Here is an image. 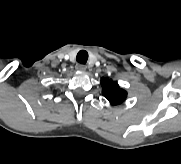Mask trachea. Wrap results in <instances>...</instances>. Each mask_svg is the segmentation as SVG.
I'll return each mask as SVG.
<instances>
[{
  "label": "trachea",
  "mask_w": 181,
  "mask_h": 164,
  "mask_svg": "<svg viewBox=\"0 0 181 164\" xmlns=\"http://www.w3.org/2000/svg\"><path fill=\"white\" fill-rule=\"evenodd\" d=\"M76 60L80 64H86L88 60V53L85 50H81L78 52Z\"/></svg>",
  "instance_id": "trachea-1"
}]
</instances>
